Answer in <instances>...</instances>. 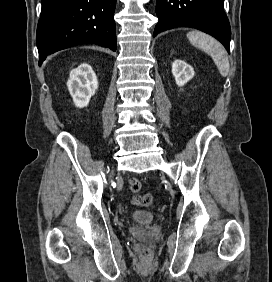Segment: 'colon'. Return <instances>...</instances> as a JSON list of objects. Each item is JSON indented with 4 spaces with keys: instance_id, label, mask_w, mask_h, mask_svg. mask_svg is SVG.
Here are the masks:
<instances>
[{
    "instance_id": "colon-1",
    "label": "colon",
    "mask_w": 272,
    "mask_h": 282,
    "mask_svg": "<svg viewBox=\"0 0 272 282\" xmlns=\"http://www.w3.org/2000/svg\"><path fill=\"white\" fill-rule=\"evenodd\" d=\"M129 189L132 193L137 194L135 198V202L138 205L144 206V207H149L153 204V197L150 194H143L140 195V190H141V182L137 178H131L129 180ZM143 259L144 260H149L151 257V253L149 248L145 247L143 249Z\"/></svg>"
}]
</instances>
